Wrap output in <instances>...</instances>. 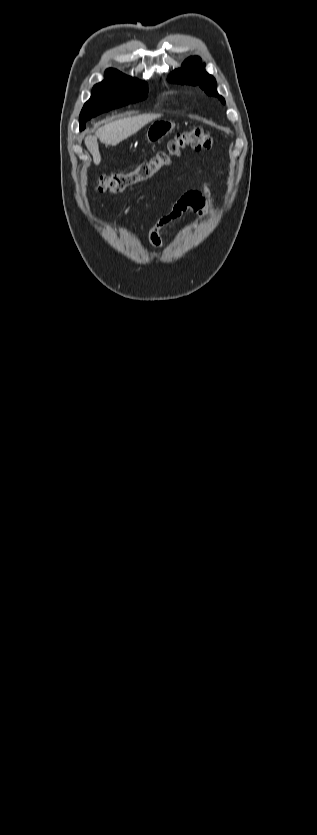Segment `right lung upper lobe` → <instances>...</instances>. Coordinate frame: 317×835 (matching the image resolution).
<instances>
[{
  "label": "right lung upper lobe",
  "mask_w": 317,
  "mask_h": 835,
  "mask_svg": "<svg viewBox=\"0 0 317 835\" xmlns=\"http://www.w3.org/2000/svg\"><path fill=\"white\" fill-rule=\"evenodd\" d=\"M112 71H117V70H116V69H108L106 72H107V73H110V72H112Z\"/></svg>",
  "instance_id": "cb5924a9"
}]
</instances>
